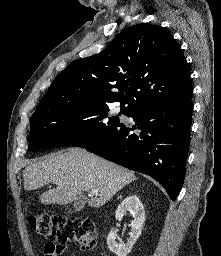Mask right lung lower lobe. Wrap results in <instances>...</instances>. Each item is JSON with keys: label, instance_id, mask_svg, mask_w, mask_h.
Instances as JSON below:
<instances>
[{"label": "right lung lower lobe", "instance_id": "right-lung-lower-lobe-1", "mask_svg": "<svg viewBox=\"0 0 221 256\" xmlns=\"http://www.w3.org/2000/svg\"><path fill=\"white\" fill-rule=\"evenodd\" d=\"M192 110V93L179 100L154 102L131 115L136 126L120 122L82 146L151 176L174 201L184 182ZM136 128L140 131L134 132Z\"/></svg>", "mask_w": 221, "mask_h": 256}]
</instances>
